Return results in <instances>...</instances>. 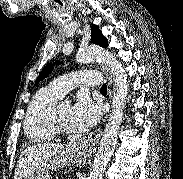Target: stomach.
I'll use <instances>...</instances> for the list:
<instances>
[{"label": "stomach", "mask_w": 183, "mask_h": 179, "mask_svg": "<svg viewBox=\"0 0 183 179\" xmlns=\"http://www.w3.org/2000/svg\"><path fill=\"white\" fill-rule=\"evenodd\" d=\"M88 157L89 151L86 147L77 144H69L47 164L31 174L28 179H50V170H57L70 164L81 166L86 163Z\"/></svg>", "instance_id": "0dacf381"}]
</instances>
